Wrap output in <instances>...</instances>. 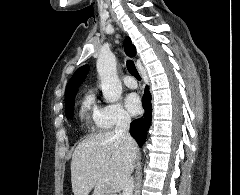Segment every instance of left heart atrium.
Returning a JSON list of instances; mask_svg holds the SVG:
<instances>
[{
  "mask_svg": "<svg viewBox=\"0 0 240 195\" xmlns=\"http://www.w3.org/2000/svg\"><path fill=\"white\" fill-rule=\"evenodd\" d=\"M127 105L134 114L139 113L141 111L139 95L136 93L130 94L127 98Z\"/></svg>",
  "mask_w": 240,
  "mask_h": 195,
  "instance_id": "left-heart-atrium-1",
  "label": "left heart atrium"
}]
</instances>
